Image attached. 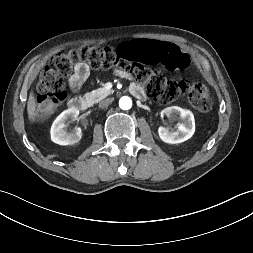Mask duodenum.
<instances>
[{"mask_svg": "<svg viewBox=\"0 0 253 253\" xmlns=\"http://www.w3.org/2000/svg\"><path fill=\"white\" fill-rule=\"evenodd\" d=\"M132 93L137 97V98H144V92L141 88L134 87L131 88ZM92 105V99L89 97H81V96H76L73 97L69 101V107L72 110L80 111V112H85L87 111Z\"/></svg>", "mask_w": 253, "mask_h": 253, "instance_id": "obj_1", "label": "duodenum"}]
</instances>
